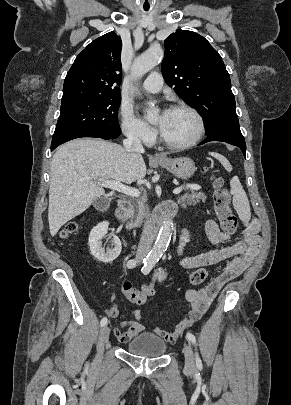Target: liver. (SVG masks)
I'll return each instance as SVG.
<instances>
[{"mask_svg":"<svg viewBox=\"0 0 291 405\" xmlns=\"http://www.w3.org/2000/svg\"><path fill=\"white\" fill-rule=\"evenodd\" d=\"M146 175L140 153L119 144L79 138L57 149L51 160L48 221L55 236L69 220L83 213L104 195L100 181L114 179L131 184Z\"/></svg>","mask_w":291,"mask_h":405,"instance_id":"1","label":"liver"}]
</instances>
